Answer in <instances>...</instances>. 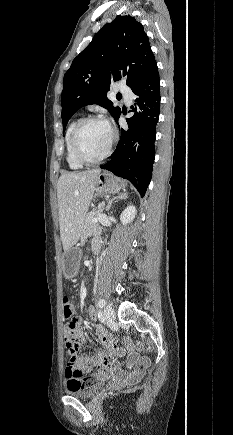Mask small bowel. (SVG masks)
I'll list each match as a JSON object with an SVG mask.
<instances>
[{"label": "small bowel", "mask_w": 233, "mask_h": 435, "mask_svg": "<svg viewBox=\"0 0 233 435\" xmlns=\"http://www.w3.org/2000/svg\"><path fill=\"white\" fill-rule=\"evenodd\" d=\"M97 245L98 243L95 242ZM94 243V244H95ZM73 310L75 311L74 305L71 303ZM88 316L91 319L96 318V312L93 309L88 310ZM65 317V316H64ZM94 331L97 337L98 342L105 346V344L110 340V337L107 335L106 330L100 324H95ZM85 342V334L83 330H79V345H82ZM118 357H126L128 372L132 375L137 374L142 369H144L148 361L144 358L139 357L134 351L131 349L125 348H117L115 351L110 353H100L94 357L89 356H79L78 363L79 366L85 369L87 372H90L94 366L100 364L98 372L94 374L95 378L107 377L112 375L120 370H122L121 364L118 361ZM64 377L67 383L76 384L79 382L80 378L78 376L77 367L68 365L64 371Z\"/></svg>", "instance_id": "c3829d8e"}]
</instances>
